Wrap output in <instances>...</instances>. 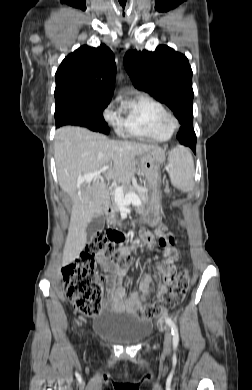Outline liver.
I'll use <instances>...</instances> for the list:
<instances>
[{"label": "liver", "instance_id": "liver-1", "mask_svg": "<svg viewBox=\"0 0 252 390\" xmlns=\"http://www.w3.org/2000/svg\"><path fill=\"white\" fill-rule=\"evenodd\" d=\"M55 161L60 188L72 199V213L63 251V265L73 262L87 242L86 228L109 204L101 175L91 183H78L86 174L102 171L105 178L129 185L137 172L135 158L160 148L136 142L114 141L86 128L64 126L56 131Z\"/></svg>", "mask_w": 252, "mask_h": 390}]
</instances>
